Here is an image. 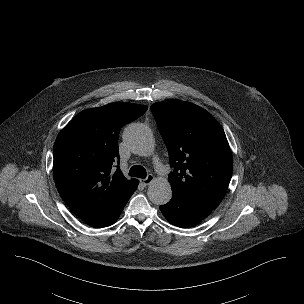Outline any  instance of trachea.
Segmentation results:
<instances>
[{"label": "trachea", "instance_id": "trachea-1", "mask_svg": "<svg viewBox=\"0 0 304 304\" xmlns=\"http://www.w3.org/2000/svg\"><path fill=\"white\" fill-rule=\"evenodd\" d=\"M129 175L133 177H138V178H146L147 173L146 169L143 166L140 165H134L131 167L129 171Z\"/></svg>", "mask_w": 304, "mask_h": 304}]
</instances>
